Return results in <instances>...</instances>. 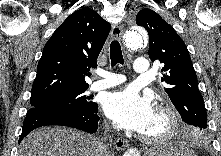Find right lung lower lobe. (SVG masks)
Instances as JSON below:
<instances>
[{
  "instance_id": "1",
  "label": "right lung lower lobe",
  "mask_w": 221,
  "mask_h": 156,
  "mask_svg": "<svg viewBox=\"0 0 221 156\" xmlns=\"http://www.w3.org/2000/svg\"><path fill=\"white\" fill-rule=\"evenodd\" d=\"M98 106L92 111H67L31 108L24 120L19 142L32 130L48 125H61L95 133L98 128Z\"/></svg>"
}]
</instances>
